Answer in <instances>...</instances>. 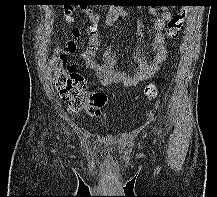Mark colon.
<instances>
[{
	"label": "colon",
	"mask_w": 217,
	"mask_h": 197,
	"mask_svg": "<svg viewBox=\"0 0 217 197\" xmlns=\"http://www.w3.org/2000/svg\"><path fill=\"white\" fill-rule=\"evenodd\" d=\"M182 2H186L182 0ZM189 6L180 4V10L168 21L166 36L176 39L188 15ZM53 70V83L59 96L66 102L72 111H84L90 116L98 117L106 104V94L100 90H90L86 80L78 73L73 65L67 61L66 51L57 47L50 61ZM158 82L149 83L143 92V99L150 101L158 94Z\"/></svg>",
	"instance_id": "obj_1"
}]
</instances>
